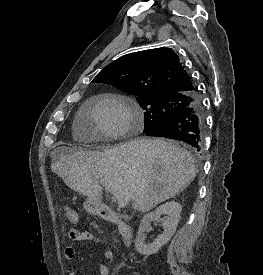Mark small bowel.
Returning a JSON list of instances; mask_svg holds the SVG:
<instances>
[{
  "label": "small bowel",
  "mask_w": 263,
  "mask_h": 275,
  "mask_svg": "<svg viewBox=\"0 0 263 275\" xmlns=\"http://www.w3.org/2000/svg\"><path fill=\"white\" fill-rule=\"evenodd\" d=\"M68 237L72 241L90 242L97 246H101L103 249V255L105 258L110 259L113 257V251L110 247L106 246L103 241L89 231H80L77 229H71L68 233ZM75 249L72 245H68L64 249V258L67 261H72L75 257ZM68 275H75V269L73 266L67 268ZM97 275H109V268L105 264H100Z\"/></svg>",
  "instance_id": "small-bowel-1"
}]
</instances>
